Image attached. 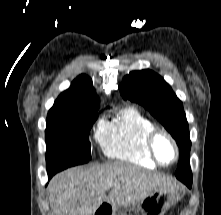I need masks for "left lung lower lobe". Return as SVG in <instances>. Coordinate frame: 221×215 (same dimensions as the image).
Listing matches in <instances>:
<instances>
[{
  "mask_svg": "<svg viewBox=\"0 0 221 215\" xmlns=\"http://www.w3.org/2000/svg\"><path fill=\"white\" fill-rule=\"evenodd\" d=\"M180 181H182L184 184H186V186H187L188 188H191V186H192V181H188V180H180Z\"/></svg>",
  "mask_w": 221,
  "mask_h": 215,
  "instance_id": "0a47b994",
  "label": "left lung lower lobe"
}]
</instances>
